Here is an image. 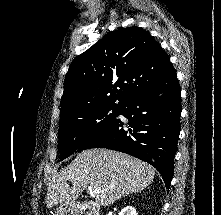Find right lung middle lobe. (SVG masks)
Returning <instances> with one entry per match:
<instances>
[{
	"instance_id": "1",
	"label": "right lung middle lobe",
	"mask_w": 221,
	"mask_h": 215,
	"mask_svg": "<svg viewBox=\"0 0 221 215\" xmlns=\"http://www.w3.org/2000/svg\"><path fill=\"white\" fill-rule=\"evenodd\" d=\"M117 113L118 108L97 107L60 119L59 149L61 160L69 157L88 137L114 122Z\"/></svg>"
}]
</instances>
